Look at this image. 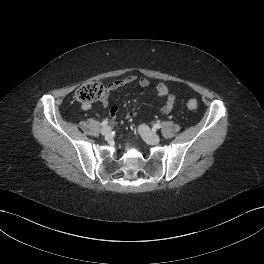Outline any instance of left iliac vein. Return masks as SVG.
<instances>
[{"mask_svg":"<svg viewBox=\"0 0 264 264\" xmlns=\"http://www.w3.org/2000/svg\"><path fill=\"white\" fill-rule=\"evenodd\" d=\"M139 133L142 138L149 144L156 145L160 142V137L151 131L148 126L142 124L139 126Z\"/></svg>","mask_w":264,"mask_h":264,"instance_id":"left-iliac-vein-1","label":"left iliac vein"}]
</instances>
